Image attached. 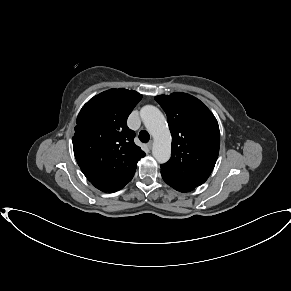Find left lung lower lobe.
Returning <instances> with one entry per match:
<instances>
[{"label":"left lung lower lobe","mask_w":291,"mask_h":291,"mask_svg":"<svg viewBox=\"0 0 291 291\" xmlns=\"http://www.w3.org/2000/svg\"><path fill=\"white\" fill-rule=\"evenodd\" d=\"M161 175L162 178L164 179V181L170 185L171 187H173L174 189H176L177 191L180 192H189L195 189L196 186L191 185L187 182H184L178 178L173 177L172 175L164 172L161 170Z\"/></svg>","instance_id":"0a47b994"}]
</instances>
